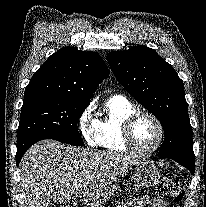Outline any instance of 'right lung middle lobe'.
<instances>
[{
    "label": "right lung middle lobe",
    "instance_id": "1",
    "mask_svg": "<svg viewBox=\"0 0 206 207\" xmlns=\"http://www.w3.org/2000/svg\"><path fill=\"white\" fill-rule=\"evenodd\" d=\"M88 103L54 97L23 102L18 127L17 151L26 150L43 139L84 146L77 122Z\"/></svg>",
    "mask_w": 206,
    "mask_h": 207
}]
</instances>
